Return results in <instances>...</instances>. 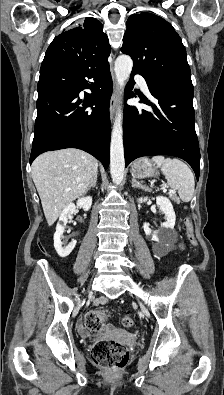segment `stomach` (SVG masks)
<instances>
[{
  "mask_svg": "<svg viewBox=\"0 0 224 395\" xmlns=\"http://www.w3.org/2000/svg\"><path fill=\"white\" fill-rule=\"evenodd\" d=\"M131 174L134 178L143 179L156 177L159 175L157 168L147 158H140L134 162L131 168Z\"/></svg>",
  "mask_w": 224,
  "mask_h": 395,
  "instance_id": "1",
  "label": "stomach"
}]
</instances>
